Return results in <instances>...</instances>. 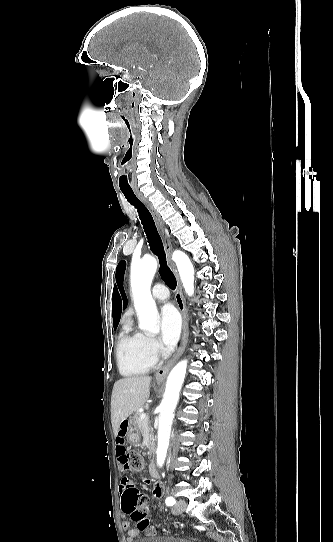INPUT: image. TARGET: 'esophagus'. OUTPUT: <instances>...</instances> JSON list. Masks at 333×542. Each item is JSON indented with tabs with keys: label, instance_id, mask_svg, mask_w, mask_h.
<instances>
[{
	"label": "esophagus",
	"instance_id": "1",
	"mask_svg": "<svg viewBox=\"0 0 333 542\" xmlns=\"http://www.w3.org/2000/svg\"><path fill=\"white\" fill-rule=\"evenodd\" d=\"M137 197L146 205V207L150 210L154 221L156 223V226L160 232V235L162 237L163 243H164V249L166 251L167 256V262L171 270L173 271L176 281H177V290L175 292V300L177 303V307L182 315L183 318V329H182V338L180 341L179 348L177 349L176 353L173 355L172 359L167 362L166 365L160 367L156 373H155V380L156 382H162L168 375L171 367L177 362V360L180 359L181 355L183 354L189 337V329H188V321L189 316L185 310V304L183 300V292H182V286L181 282L177 273V270L175 268V265L172 262L171 259V252H172V245H171V239L167 235L166 230L164 228L163 221L157 212V210L153 207L152 203L149 202L140 192H136Z\"/></svg>",
	"mask_w": 333,
	"mask_h": 542
}]
</instances>
